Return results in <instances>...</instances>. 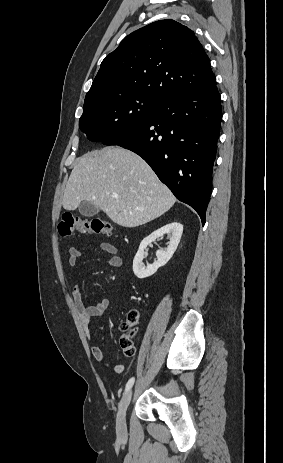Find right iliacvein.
I'll return each instance as SVG.
<instances>
[{
  "label": "right iliac vein",
  "mask_w": 283,
  "mask_h": 463,
  "mask_svg": "<svg viewBox=\"0 0 283 463\" xmlns=\"http://www.w3.org/2000/svg\"><path fill=\"white\" fill-rule=\"evenodd\" d=\"M131 397H132V391L129 390L122 397L120 404H119L116 428H117V433L120 437H126L127 435V425H126L125 413L130 404Z\"/></svg>",
  "instance_id": "right-iliac-vein-1"
}]
</instances>
